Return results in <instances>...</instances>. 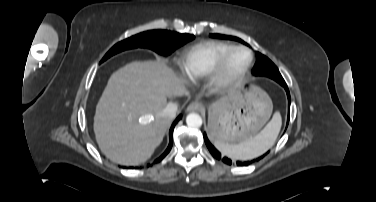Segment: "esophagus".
<instances>
[{
    "label": "esophagus",
    "instance_id": "1",
    "mask_svg": "<svg viewBox=\"0 0 376 202\" xmlns=\"http://www.w3.org/2000/svg\"><path fill=\"white\" fill-rule=\"evenodd\" d=\"M202 109H203L202 104L198 102H191L187 107L188 111H201Z\"/></svg>",
    "mask_w": 376,
    "mask_h": 202
}]
</instances>
